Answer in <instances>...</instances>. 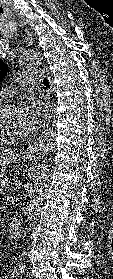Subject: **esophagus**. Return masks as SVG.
Wrapping results in <instances>:
<instances>
[{"mask_svg":"<svg viewBox=\"0 0 113 279\" xmlns=\"http://www.w3.org/2000/svg\"><path fill=\"white\" fill-rule=\"evenodd\" d=\"M38 69L41 73L45 74L48 78V81H49V85H50V90L52 92V86H53V83H52V79H51V76L48 72V69L47 67L45 66V64L43 63H40L38 65ZM52 112H53V109H51V112H50V115L48 116V119H47V122H46V125L49 124L50 122V118H51V115H52ZM38 149V143L37 142H34L33 144L29 145V147L24 151V154L28 157H31L34 155V153H36Z\"/></svg>","mask_w":113,"mask_h":279,"instance_id":"1","label":"esophagus"}]
</instances>
